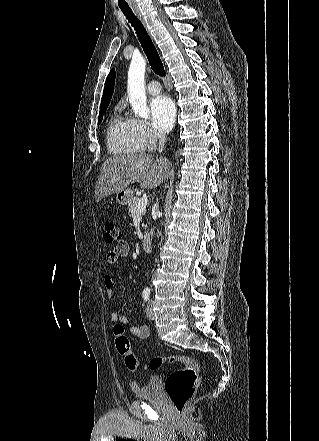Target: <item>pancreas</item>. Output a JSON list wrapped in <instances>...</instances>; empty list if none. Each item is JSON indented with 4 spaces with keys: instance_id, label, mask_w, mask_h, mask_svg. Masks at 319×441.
<instances>
[{
    "instance_id": "pancreas-1",
    "label": "pancreas",
    "mask_w": 319,
    "mask_h": 441,
    "mask_svg": "<svg viewBox=\"0 0 319 441\" xmlns=\"http://www.w3.org/2000/svg\"><path fill=\"white\" fill-rule=\"evenodd\" d=\"M140 200V198L135 197L132 199V201L128 204V208H127V212L129 216H133V213L136 209V206L138 204V201Z\"/></svg>"
}]
</instances>
